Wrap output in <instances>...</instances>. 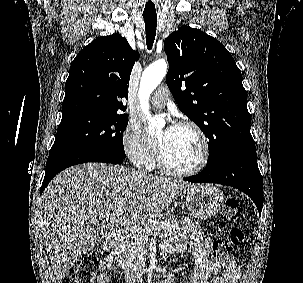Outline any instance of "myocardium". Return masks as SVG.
I'll return each mask as SVG.
<instances>
[{
    "instance_id": "myocardium-1",
    "label": "myocardium",
    "mask_w": 303,
    "mask_h": 283,
    "mask_svg": "<svg viewBox=\"0 0 303 283\" xmlns=\"http://www.w3.org/2000/svg\"><path fill=\"white\" fill-rule=\"evenodd\" d=\"M175 126L190 128L196 133V135L199 138L200 146H201L200 161L198 162V164L195 167H193L191 169H187V170L177 169V168L171 166L166 161L160 145H157V152H156L157 164L161 170H163L164 172H166L168 174L174 175V176H179V177L194 176V175L200 173L202 170H204V168L208 164L209 157H210V145H209L208 138H207L205 132L202 130V128L191 120H182V121L178 122Z\"/></svg>"
}]
</instances>
